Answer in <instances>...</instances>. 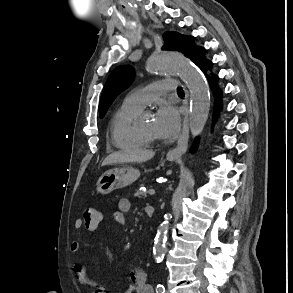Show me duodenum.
Masks as SVG:
<instances>
[{
    "mask_svg": "<svg viewBox=\"0 0 293 293\" xmlns=\"http://www.w3.org/2000/svg\"><path fill=\"white\" fill-rule=\"evenodd\" d=\"M154 207L153 206H147L146 208H145V212H146V214H147V216L149 217V218H151V217H153V215H154Z\"/></svg>",
    "mask_w": 293,
    "mask_h": 293,
    "instance_id": "1",
    "label": "duodenum"
}]
</instances>
